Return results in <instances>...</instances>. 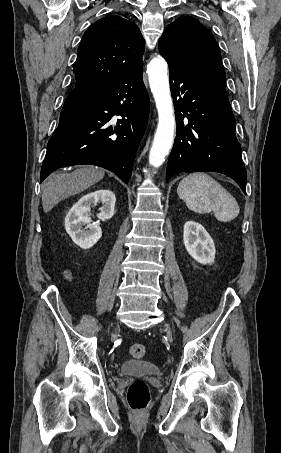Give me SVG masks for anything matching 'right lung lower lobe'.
<instances>
[{
    "label": "right lung lower lobe",
    "instance_id": "right-lung-lower-lobe-1",
    "mask_svg": "<svg viewBox=\"0 0 281 453\" xmlns=\"http://www.w3.org/2000/svg\"><path fill=\"white\" fill-rule=\"evenodd\" d=\"M149 106L142 63L114 83L75 86L48 142L40 182L58 168L90 164L128 183ZM114 115L122 118L113 122Z\"/></svg>",
    "mask_w": 281,
    "mask_h": 453
}]
</instances>
